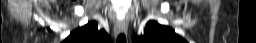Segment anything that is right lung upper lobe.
I'll return each mask as SVG.
<instances>
[{
  "label": "right lung upper lobe",
  "mask_w": 256,
  "mask_h": 43,
  "mask_svg": "<svg viewBox=\"0 0 256 43\" xmlns=\"http://www.w3.org/2000/svg\"><path fill=\"white\" fill-rule=\"evenodd\" d=\"M63 43H111L105 30H98L95 21L74 30Z\"/></svg>",
  "instance_id": "1"
}]
</instances>
